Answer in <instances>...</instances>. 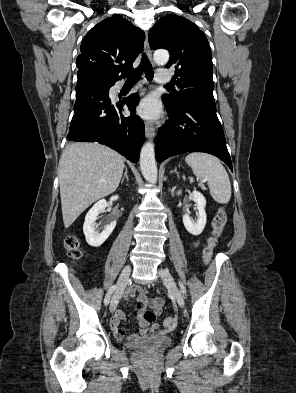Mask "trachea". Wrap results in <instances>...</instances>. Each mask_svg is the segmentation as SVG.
I'll list each match as a JSON object with an SVG mask.
<instances>
[{"instance_id":"trachea-1","label":"trachea","mask_w":296,"mask_h":393,"mask_svg":"<svg viewBox=\"0 0 296 393\" xmlns=\"http://www.w3.org/2000/svg\"><path fill=\"white\" fill-rule=\"evenodd\" d=\"M145 72V76L147 80L152 81L153 80V68L148 60L146 55H143L141 63L138 68H136L134 71L126 73V83L127 84H135L141 77V75ZM169 87V85H166Z\"/></svg>"}]
</instances>
